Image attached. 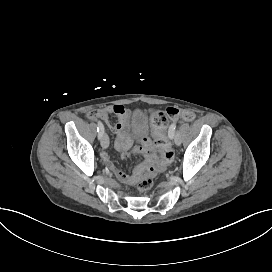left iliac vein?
<instances>
[{"mask_svg":"<svg viewBox=\"0 0 272 272\" xmlns=\"http://www.w3.org/2000/svg\"><path fill=\"white\" fill-rule=\"evenodd\" d=\"M174 141H175L176 145H180V143H181L180 137L177 133H175Z\"/></svg>","mask_w":272,"mask_h":272,"instance_id":"1","label":"left iliac vein"}]
</instances>
